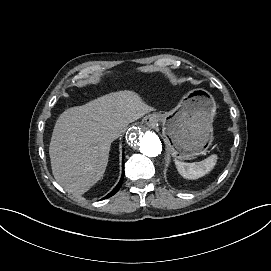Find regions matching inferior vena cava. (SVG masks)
Segmentation results:
<instances>
[{"instance_id": "inferior-vena-cava-1", "label": "inferior vena cava", "mask_w": 271, "mask_h": 271, "mask_svg": "<svg viewBox=\"0 0 271 271\" xmlns=\"http://www.w3.org/2000/svg\"><path fill=\"white\" fill-rule=\"evenodd\" d=\"M121 132H122V131H120V132L117 133V134H113L112 137H113L114 139L118 138V137L120 136Z\"/></svg>"}]
</instances>
